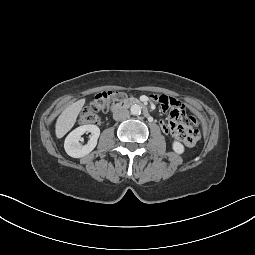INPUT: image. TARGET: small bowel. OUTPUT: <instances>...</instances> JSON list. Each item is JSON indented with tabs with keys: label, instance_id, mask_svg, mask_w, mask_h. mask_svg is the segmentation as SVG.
I'll list each match as a JSON object with an SVG mask.
<instances>
[{
	"label": "small bowel",
	"instance_id": "1",
	"mask_svg": "<svg viewBox=\"0 0 255 255\" xmlns=\"http://www.w3.org/2000/svg\"><path fill=\"white\" fill-rule=\"evenodd\" d=\"M161 107L170 117L168 121H162L160 124L163 132L172 134L173 138L183 145L196 147L199 144L198 127L186 114L184 105L175 98L164 97Z\"/></svg>",
	"mask_w": 255,
	"mask_h": 255
}]
</instances>
